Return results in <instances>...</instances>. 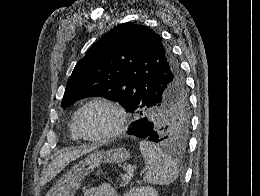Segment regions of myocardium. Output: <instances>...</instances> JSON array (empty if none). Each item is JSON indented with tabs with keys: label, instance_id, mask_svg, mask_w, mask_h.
Here are the masks:
<instances>
[{
	"label": "myocardium",
	"instance_id": "1",
	"mask_svg": "<svg viewBox=\"0 0 260 196\" xmlns=\"http://www.w3.org/2000/svg\"><path fill=\"white\" fill-rule=\"evenodd\" d=\"M95 103H103L111 107L118 116V124L117 126L109 131L108 133H105L100 136H89L86 135L79 125V119L81 113L90 105ZM73 125L78 132L81 139L85 141H89L92 143H104L110 139H113L117 137L118 135L122 134L128 125V116L124 108L115 100L106 97V96H96L91 98L90 100L86 101L82 106H80L77 111L75 112L74 118H73Z\"/></svg>",
	"mask_w": 260,
	"mask_h": 196
}]
</instances>
